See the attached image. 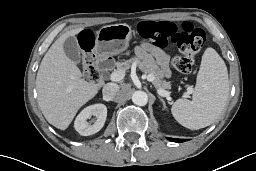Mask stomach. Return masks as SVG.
Masks as SVG:
<instances>
[{"label":"stomach","instance_id":"stomach-1","mask_svg":"<svg viewBox=\"0 0 256 171\" xmlns=\"http://www.w3.org/2000/svg\"><path fill=\"white\" fill-rule=\"evenodd\" d=\"M131 38L132 28L126 23L104 26L97 32L94 54L98 59H104L123 53Z\"/></svg>","mask_w":256,"mask_h":171}]
</instances>
